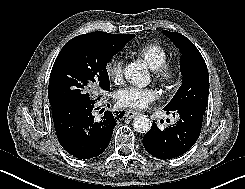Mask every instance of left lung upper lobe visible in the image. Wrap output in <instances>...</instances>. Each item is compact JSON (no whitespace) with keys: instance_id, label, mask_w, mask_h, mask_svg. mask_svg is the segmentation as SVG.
Listing matches in <instances>:
<instances>
[{"instance_id":"obj_1","label":"left lung upper lobe","mask_w":245,"mask_h":189,"mask_svg":"<svg viewBox=\"0 0 245 189\" xmlns=\"http://www.w3.org/2000/svg\"><path fill=\"white\" fill-rule=\"evenodd\" d=\"M164 35L181 52L180 67L183 83L165 108L176 110L195 107L205 112L209 93V74L206 63L196 46L185 36L164 30Z\"/></svg>"}]
</instances>
